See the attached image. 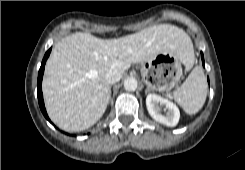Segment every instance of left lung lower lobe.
Instances as JSON below:
<instances>
[{
  "label": "left lung lower lobe",
  "instance_id": "1",
  "mask_svg": "<svg viewBox=\"0 0 245 170\" xmlns=\"http://www.w3.org/2000/svg\"><path fill=\"white\" fill-rule=\"evenodd\" d=\"M201 56H202V62H203V65H204V57H203V53H201Z\"/></svg>",
  "mask_w": 245,
  "mask_h": 170
}]
</instances>
